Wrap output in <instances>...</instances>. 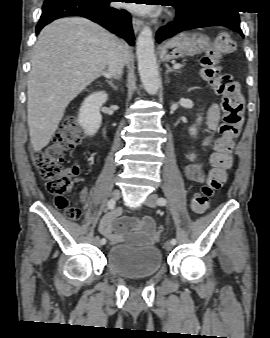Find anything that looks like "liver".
Instances as JSON below:
<instances>
[{"label": "liver", "instance_id": "obj_1", "mask_svg": "<svg viewBox=\"0 0 270 338\" xmlns=\"http://www.w3.org/2000/svg\"><path fill=\"white\" fill-rule=\"evenodd\" d=\"M116 41L120 40L81 17L58 19L42 29L32 51L27 86V119L34 151L49 144L69 103L104 74ZM123 44L128 62L130 47Z\"/></svg>", "mask_w": 270, "mask_h": 338}]
</instances>
